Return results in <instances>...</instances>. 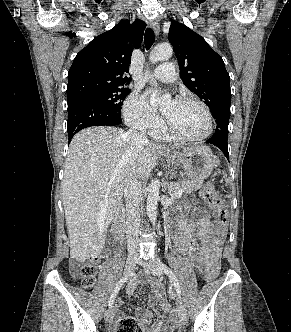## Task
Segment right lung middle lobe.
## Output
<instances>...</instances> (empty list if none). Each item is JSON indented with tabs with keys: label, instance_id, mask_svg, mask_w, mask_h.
I'll use <instances>...</instances> for the list:
<instances>
[{
	"label": "right lung middle lobe",
	"instance_id": "obj_1",
	"mask_svg": "<svg viewBox=\"0 0 291 332\" xmlns=\"http://www.w3.org/2000/svg\"><path fill=\"white\" fill-rule=\"evenodd\" d=\"M130 93L128 88L117 86V87H110V88H103V89H94L83 92L79 95L88 96L92 99H95L111 110L115 111L119 117H121V106L123 101L125 100L126 96ZM77 95V96H79ZM74 97H67V101L71 100Z\"/></svg>",
	"mask_w": 291,
	"mask_h": 332
}]
</instances>
